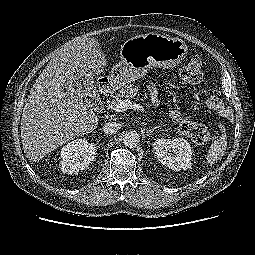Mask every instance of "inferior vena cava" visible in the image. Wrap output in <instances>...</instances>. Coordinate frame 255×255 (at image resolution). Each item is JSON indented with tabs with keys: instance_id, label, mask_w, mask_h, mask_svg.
Returning <instances> with one entry per match:
<instances>
[{
	"instance_id": "obj_1",
	"label": "inferior vena cava",
	"mask_w": 255,
	"mask_h": 255,
	"mask_svg": "<svg viewBox=\"0 0 255 255\" xmlns=\"http://www.w3.org/2000/svg\"><path fill=\"white\" fill-rule=\"evenodd\" d=\"M121 127V124L116 122H108L104 125L103 130L104 133L113 135L115 134Z\"/></svg>"
}]
</instances>
